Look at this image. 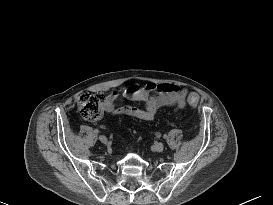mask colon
Instances as JSON below:
<instances>
[{
    "label": "colon",
    "mask_w": 273,
    "mask_h": 205,
    "mask_svg": "<svg viewBox=\"0 0 273 205\" xmlns=\"http://www.w3.org/2000/svg\"><path fill=\"white\" fill-rule=\"evenodd\" d=\"M105 98L103 94L97 92H82L76 98L80 114L86 120H97L101 117L104 109ZM188 103L191 107H196L198 98L191 94L188 97Z\"/></svg>",
    "instance_id": "obj_1"
}]
</instances>
